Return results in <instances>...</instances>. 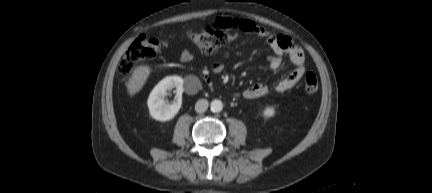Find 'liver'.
<instances>
[{
    "mask_svg": "<svg viewBox=\"0 0 432 193\" xmlns=\"http://www.w3.org/2000/svg\"><path fill=\"white\" fill-rule=\"evenodd\" d=\"M149 73L150 70L147 66H139L134 70L132 77L126 85L129 96H133L141 90L149 76Z\"/></svg>",
    "mask_w": 432,
    "mask_h": 193,
    "instance_id": "1",
    "label": "liver"
}]
</instances>
